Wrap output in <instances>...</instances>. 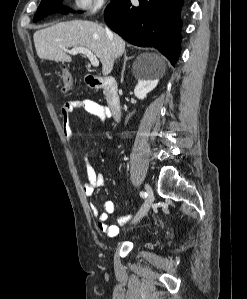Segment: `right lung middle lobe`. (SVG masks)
<instances>
[{
	"mask_svg": "<svg viewBox=\"0 0 247 299\" xmlns=\"http://www.w3.org/2000/svg\"><path fill=\"white\" fill-rule=\"evenodd\" d=\"M62 0H42L38 10L34 16L33 21L36 22L49 14L55 13V12H60V13H67L68 8L63 7L60 5ZM114 1V0H112ZM111 1V2H112Z\"/></svg>",
	"mask_w": 247,
	"mask_h": 299,
	"instance_id": "right-lung-middle-lobe-1",
	"label": "right lung middle lobe"
}]
</instances>
